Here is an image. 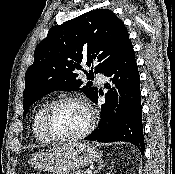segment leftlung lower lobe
Instances as JSON below:
<instances>
[{
    "label": "left lung lower lobe",
    "mask_w": 175,
    "mask_h": 174,
    "mask_svg": "<svg viewBox=\"0 0 175 174\" xmlns=\"http://www.w3.org/2000/svg\"><path fill=\"white\" fill-rule=\"evenodd\" d=\"M104 75L110 78L115 87L107 86L110 90L105 94V104L101 105L99 125L85 140L130 142L143 154L140 78L132 43ZM92 101L98 102V92ZM116 108L117 113H113Z\"/></svg>",
    "instance_id": "obj_1"
}]
</instances>
